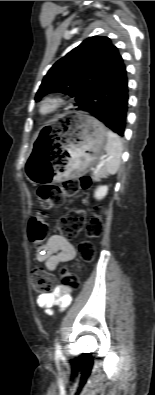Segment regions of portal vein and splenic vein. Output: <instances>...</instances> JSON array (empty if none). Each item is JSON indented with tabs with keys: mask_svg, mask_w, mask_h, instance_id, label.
Returning a JSON list of instances; mask_svg holds the SVG:
<instances>
[{
	"mask_svg": "<svg viewBox=\"0 0 155 395\" xmlns=\"http://www.w3.org/2000/svg\"><path fill=\"white\" fill-rule=\"evenodd\" d=\"M107 160V158H102L97 167L95 168V171H98L100 168H102L106 164Z\"/></svg>",
	"mask_w": 155,
	"mask_h": 395,
	"instance_id": "18ae733b",
	"label": "portal vein and splenic vein"
}]
</instances>
